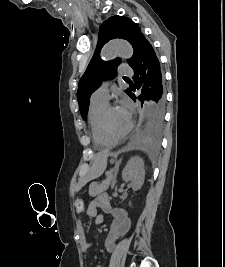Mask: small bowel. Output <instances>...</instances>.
<instances>
[{"label":"small bowel","mask_w":225,"mask_h":267,"mask_svg":"<svg viewBox=\"0 0 225 267\" xmlns=\"http://www.w3.org/2000/svg\"><path fill=\"white\" fill-rule=\"evenodd\" d=\"M99 210L106 213H111L114 217L110 230L105 239V247L107 251L113 252L115 250L116 240L127 233L130 226V219L125 210L121 208H113L106 195H100L95 198L89 204L87 208V214L89 216H96ZM91 245V241L88 238L84 237L81 246L82 252L86 253L87 250L91 247Z\"/></svg>","instance_id":"obj_1"}]
</instances>
